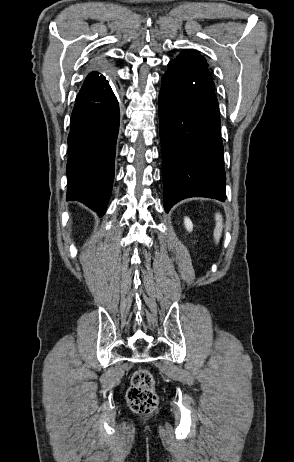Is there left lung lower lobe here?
I'll list each match as a JSON object with an SVG mask.
<instances>
[{
	"mask_svg": "<svg viewBox=\"0 0 294 462\" xmlns=\"http://www.w3.org/2000/svg\"><path fill=\"white\" fill-rule=\"evenodd\" d=\"M161 82L159 119L165 211L189 197L225 201L219 105L208 68L176 58L168 63Z\"/></svg>",
	"mask_w": 294,
	"mask_h": 462,
	"instance_id": "obj_1",
	"label": "left lung lower lobe"
}]
</instances>
